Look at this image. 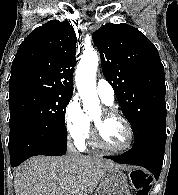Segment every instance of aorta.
I'll return each mask as SVG.
<instances>
[{
    "label": "aorta",
    "instance_id": "762f6f07",
    "mask_svg": "<svg viewBox=\"0 0 178 195\" xmlns=\"http://www.w3.org/2000/svg\"><path fill=\"white\" fill-rule=\"evenodd\" d=\"M99 57L96 52L83 53L76 70V86L83 101V110L91 114L99 108L96 92V71Z\"/></svg>",
    "mask_w": 178,
    "mask_h": 195
}]
</instances>
